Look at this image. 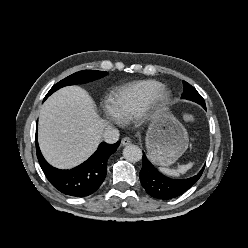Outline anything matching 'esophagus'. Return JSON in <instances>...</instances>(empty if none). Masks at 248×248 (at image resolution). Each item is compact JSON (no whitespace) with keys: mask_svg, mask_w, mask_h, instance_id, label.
Here are the masks:
<instances>
[{"mask_svg":"<svg viewBox=\"0 0 248 248\" xmlns=\"http://www.w3.org/2000/svg\"><path fill=\"white\" fill-rule=\"evenodd\" d=\"M131 139L129 137H124L122 140H121V144L122 146H126V145H129L131 143Z\"/></svg>","mask_w":248,"mask_h":248,"instance_id":"esophagus-1","label":"esophagus"}]
</instances>
